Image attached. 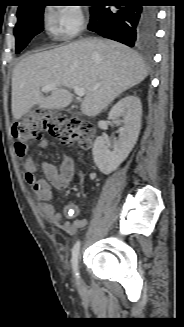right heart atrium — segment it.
I'll return each mask as SVG.
<instances>
[{
	"label": "right heart atrium",
	"instance_id": "right-heart-atrium-1",
	"mask_svg": "<svg viewBox=\"0 0 184 327\" xmlns=\"http://www.w3.org/2000/svg\"><path fill=\"white\" fill-rule=\"evenodd\" d=\"M45 24L54 37L69 41L84 31L86 19L79 6L65 5L47 13Z\"/></svg>",
	"mask_w": 184,
	"mask_h": 327
}]
</instances>
